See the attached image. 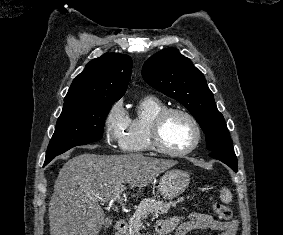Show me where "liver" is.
<instances>
[{"mask_svg": "<svg viewBox=\"0 0 283 235\" xmlns=\"http://www.w3.org/2000/svg\"><path fill=\"white\" fill-rule=\"evenodd\" d=\"M174 160L141 154L98 155L84 153L68 160L55 181L49 203L51 235H98L105 224L101 198L130 184L139 195L159 174L175 166Z\"/></svg>", "mask_w": 283, "mask_h": 235, "instance_id": "6515ba94", "label": "liver"}]
</instances>
